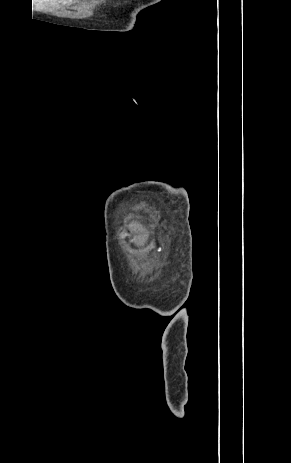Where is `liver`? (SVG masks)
I'll list each match as a JSON object with an SVG mask.
<instances>
[{"instance_id":"1","label":"liver","mask_w":291,"mask_h":463,"mask_svg":"<svg viewBox=\"0 0 291 463\" xmlns=\"http://www.w3.org/2000/svg\"><path fill=\"white\" fill-rule=\"evenodd\" d=\"M132 228L138 232V240L141 244H144L148 239V234L146 233V229L143 227L142 224L138 222L132 223Z\"/></svg>"}]
</instances>
